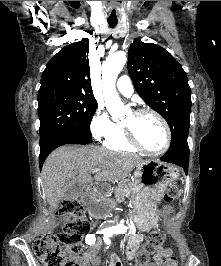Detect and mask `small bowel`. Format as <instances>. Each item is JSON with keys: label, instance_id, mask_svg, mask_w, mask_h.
Listing matches in <instances>:
<instances>
[{"label": "small bowel", "instance_id": "small-bowel-1", "mask_svg": "<svg viewBox=\"0 0 221 266\" xmlns=\"http://www.w3.org/2000/svg\"><path fill=\"white\" fill-rule=\"evenodd\" d=\"M164 213H171V207L163 208ZM63 220H66L65 218ZM93 234V233H92ZM88 234V235H92ZM143 240V236L139 233H132L128 236L125 246V256L128 261H132L136 252ZM89 245V244H88ZM101 245V240L98 239L96 244L90 245L82 255L70 254L68 258L75 261L77 266H91L99 263L97 257L98 250ZM173 255L170 248H159L154 255V260L149 266H166L167 259ZM108 266H122L119 258L114 254H109L107 257Z\"/></svg>", "mask_w": 221, "mask_h": 266}]
</instances>
